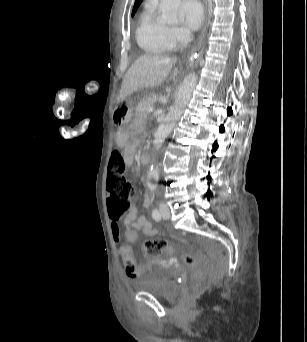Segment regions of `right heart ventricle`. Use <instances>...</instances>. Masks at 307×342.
I'll list each match as a JSON object with an SVG mask.
<instances>
[{
  "instance_id": "e07e8e85",
  "label": "right heart ventricle",
  "mask_w": 307,
  "mask_h": 342,
  "mask_svg": "<svg viewBox=\"0 0 307 342\" xmlns=\"http://www.w3.org/2000/svg\"><path fill=\"white\" fill-rule=\"evenodd\" d=\"M148 23V31L136 33V43L145 56L161 54L167 50V44L161 36L154 14L149 17Z\"/></svg>"
}]
</instances>
